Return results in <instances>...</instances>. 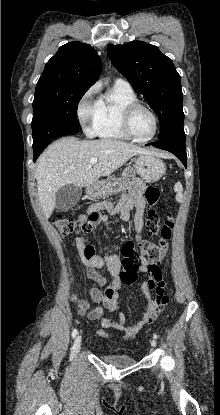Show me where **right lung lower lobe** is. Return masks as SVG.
Wrapping results in <instances>:
<instances>
[{
  "label": "right lung lower lobe",
  "instance_id": "98d812e1",
  "mask_svg": "<svg viewBox=\"0 0 220 415\" xmlns=\"http://www.w3.org/2000/svg\"><path fill=\"white\" fill-rule=\"evenodd\" d=\"M43 149L44 148L34 150V162L36 161V159L38 158V156L40 155Z\"/></svg>",
  "mask_w": 220,
  "mask_h": 415
}]
</instances>
